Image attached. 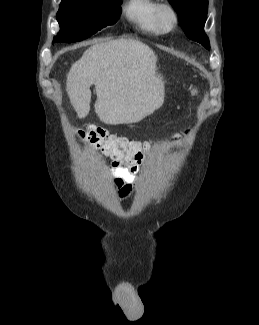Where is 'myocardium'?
I'll use <instances>...</instances> for the list:
<instances>
[{"mask_svg":"<svg viewBox=\"0 0 259 325\" xmlns=\"http://www.w3.org/2000/svg\"><path fill=\"white\" fill-rule=\"evenodd\" d=\"M164 11H168L172 17V23L169 27H165L162 22V14ZM154 18L157 27L161 31V33H170L172 32L178 25L179 22V13L176 7L169 2L159 3L155 9Z\"/></svg>","mask_w":259,"mask_h":325,"instance_id":"myocardium-1","label":"myocardium"}]
</instances>
